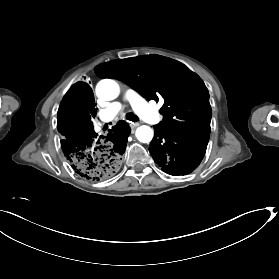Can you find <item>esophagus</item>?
<instances>
[{"mask_svg": "<svg viewBox=\"0 0 279 279\" xmlns=\"http://www.w3.org/2000/svg\"><path fill=\"white\" fill-rule=\"evenodd\" d=\"M137 126H139V123H138V122L130 123V127H131L132 129L136 128Z\"/></svg>", "mask_w": 279, "mask_h": 279, "instance_id": "esophagus-1", "label": "esophagus"}]
</instances>
